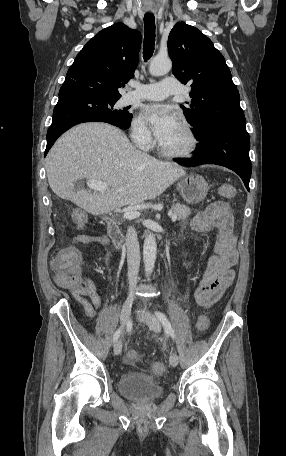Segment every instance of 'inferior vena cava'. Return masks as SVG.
I'll return each mask as SVG.
<instances>
[{"label": "inferior vena cava", "instance_id": "602c4592", "mask_svg": "<svg viewBox=\"0 0 286 456\" xmlns=\"http://www.w3.org/2000/svg\"><path fill=\"white\" fill-rule=\"evenodd\" d=\"M125 244L127 249L129 295L133 296L140 266V248L137 232L134 227L128 228Z\"/></svg>", "mask_w": 286, "mask_h": 456}]
</instances>
